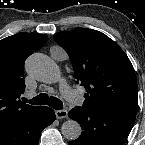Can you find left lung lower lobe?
<instances>
[{
    "mask_svg": "<svg viewBox=\"0 0 145 145\" xmlns=\"http://www.w3.org/2000/svg\"><path fill=\"white\" fill-rule=\"evenodd\" d=\"M82 127L80 137L69 145H123L136 118L129 111H96L75 107L68 113Z\"/></svg>",
    "mask_w": 145,
    "mask_h": 145,
    "instance_id": "obj_1",
    "label": "left lung lower lobe"
}]
</instances>
